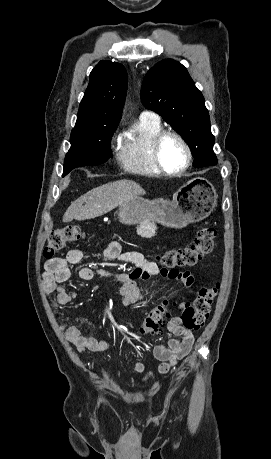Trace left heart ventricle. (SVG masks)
Returning <instances> with one entry per match:
<instances>
[{
	"label": "left heart ventricle",
	"mask_w": 271,
	"mask_h": 459,
	"mask_svg": "<svg viewBox=\"0 0 271 459\" xmlns=\"http://www.w3.org/2000/svg\"><path fill=\"white\" fill-rule=\"evenodd\" d=\"M161 156L164 164L172 169L183 168L188 160V153L183 142L176 136H167L161 144Z\"/></svg>",
	"instance_id": "1"
}]
</instances>
